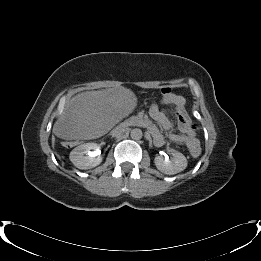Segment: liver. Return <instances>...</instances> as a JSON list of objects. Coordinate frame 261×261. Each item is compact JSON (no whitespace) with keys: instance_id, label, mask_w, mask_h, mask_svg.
Instances as JSON below:
<instances>
[{"instance_id":"1","label":"liver","mask_w":261,"mask_h":261,"mask_svg":"<svg viewBox=\"0 0 261 261\" xmlns=\"http://www.w3.org/2000/svg\"><path fill=\"white\" fill-rule=\"evenodd\" d=\"M132 98L123 87L78 94L55 122L53 133L64 140L101 137L133 108Z\"/></svg>"}]
</instances>
